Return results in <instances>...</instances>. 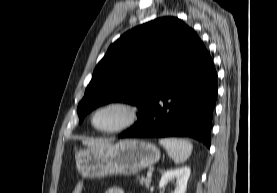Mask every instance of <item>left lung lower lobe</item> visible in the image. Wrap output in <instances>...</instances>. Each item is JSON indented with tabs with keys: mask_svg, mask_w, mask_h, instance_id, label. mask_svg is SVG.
Instances as JSON below:
<instances>
[{
	"mask_svg": "<svg viewBox=\"0 0 277 193\" xmlns=\"http://www.w3.org/2000/svg\"><path fill=\"white\" fill-rule=\"evenodd\" d=\"M217 93L212 58L198 38L190 55L163 85L151 106L119 137L187 136L210 147Z\"/></svg>",
	"mask_w": 277,
	"mask_h": 193,
	"instance_id": "left-lung-lower-lobe-1",
	"label": "left lung lower lobe"
}]
</instances>
